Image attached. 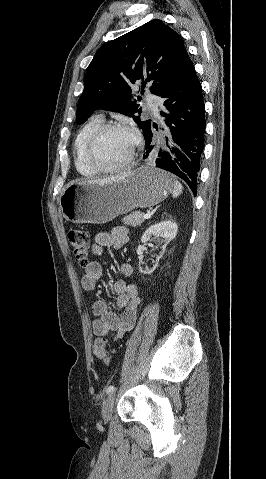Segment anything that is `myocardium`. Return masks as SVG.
<instances>
[{"instance_id": "myocardium-1", "label": "myocardium", "mask_w": 266, "mask_h": 479, "mask_svg": "<svg viewBox=\"0 0 266 479\" xmlns=\"http://www.w3.org/2000/svg\"><path fill=\"white\" fill-rule=\"evenodd\" d=\"M112 130H122V131L128 132L129 134L132 135L134 139V143L127 159L123 163L113 167H103L99 163H97V161L95 160L94 151L99 139L105 133ZM140 144H141V139L139 135L131 127L121 123H105L99 126L89 137L85 147V160L88 166L96 173L108 174V173H114L121 170H125L132 165L135 159L137 149L139 148Z\"/></svg>"}]
</instances>
